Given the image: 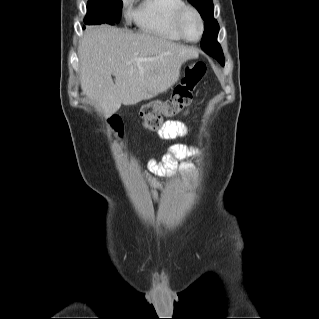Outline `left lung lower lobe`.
Returning a JSON list of instances; mask_svg holds the SVG:
<instances>
[{
    "instance_id": "1",
    "label": "left lung lower lobe",
    "mask_w": 319,
    "mask_h": 319,
    "mask_svg": "<svg viewBox=\"0 0 319 319\" xmlns=\"http://www.w3.org/2000/svg\"><path fill=\"white\" fill-rule=\"evenodd\" d=\"M209 47H211V46H209ZM207 54H209L210 56H212V55H214V56H216V54L213 52V51H211V50H209L207 47H204V48H202ZM212 49H213V47H212Z\"/></svg>"
}]
</instances>
